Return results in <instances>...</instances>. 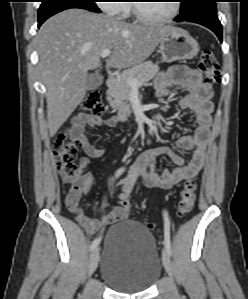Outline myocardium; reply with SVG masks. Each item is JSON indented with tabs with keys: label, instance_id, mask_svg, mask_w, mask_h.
<instances>
[{
	"label": "myocardium",
	"instance_id": "f54148a6",
	"mask_svg": "<svg viewBox=\"0 0 248 299\" xmlns=\"http://www.w3.org/2000/svg\"><path fill=\"white\" fill-rule=\"evenodd\" d=\"M173 6H172V11L170 14L164 16V17H149L145 15L139 8V3H134L132 5V10L133 14L136 17V19L142 23L146 24H160V23H165L173 20L174 18L177 17V15L180 12V3L178 0H172Z\"/></svg>",
	"mask_w": 248,
	"mask_h": 299
}]
</instances>
